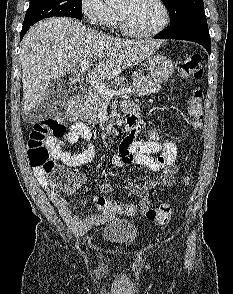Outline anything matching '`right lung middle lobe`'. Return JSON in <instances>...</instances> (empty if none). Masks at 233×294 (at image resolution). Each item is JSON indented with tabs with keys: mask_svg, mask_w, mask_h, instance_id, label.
Returning <instances> with one entry per match:
<instances>
[{
	"mask_svg": "<svg viewBox=\"0 0 233 294\" xmlns=\"http://www.w3.org/2000/svg\"><path fill=\"white\" fill-rule=\"evenodd\" d=\"M82 0H30L23 26H31L35 22L53 16L82 18Z\"/></svg>",
	"mask_w": 233,
	"mask_h": 294,
	"instance_id": "obj_1",
	"label": "right lung middle lobe"
}]
</instances>
